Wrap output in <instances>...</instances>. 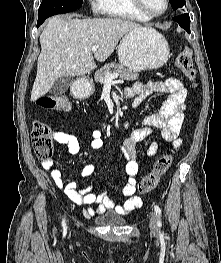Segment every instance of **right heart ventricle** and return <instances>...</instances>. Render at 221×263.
<instances>
[{
	"label": "right heart ventricle",
	"mask_w": 221,
	"mask_h": 263,
	"mask_svg": "<svg viewBox=\"0 0 221 263\" xmlns=\"http://www.w3.org/2000/svg\"><path fill=\"white\" fill-rule=\"evenodd\" d=\"M101 12L114 18L143 21L147 18L140 13L132 0H100Z\"/></svg>",
	"instance_id": "1"
}]
</instances>
